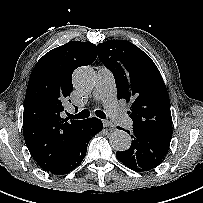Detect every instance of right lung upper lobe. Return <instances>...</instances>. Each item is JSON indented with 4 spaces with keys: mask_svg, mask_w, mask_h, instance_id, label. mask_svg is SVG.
Returning <instances> with one entry per match:
<instances>
[{
    "mask_svg": "<svg viewBox=\"0 0 203 203\" xmlns=\"http://www.w3.org/2000/svg\"><path fill=\"white\" fill-rule=\"evenodd\" d=\"M96 45L72 41L46 53L35 65L27 86L23 134L29 152L45 171L54 168L63 156L76 129L84 120L61 118L63 102L73 89V71L91 64Z\"/></svg>",
    "mask_w": 203,
    "mask_h": 203,
    "instance_id": "right-lung-upper-lobe-1",
    "label": "right lung upper lobe"
}]
</instances>
